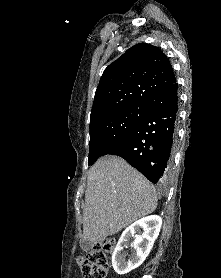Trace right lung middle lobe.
<instances>
[{
    "label": "right lung middle lobe",
    "mask_w": 221,
    "mask_h": 278,
    "mask_svg": "<svg viewBox=\"0 0 221 278\" xmlns=\"http://www.w3.org/2000/svg\"><path fill=\"white\" fill-rule=\"evenodd\" d=\"M147 112L146 101H136L90 119L89 165L128 134Z\"/></svg>",
    "instance_id": "dd1d6c3e"
}]
</instances>
